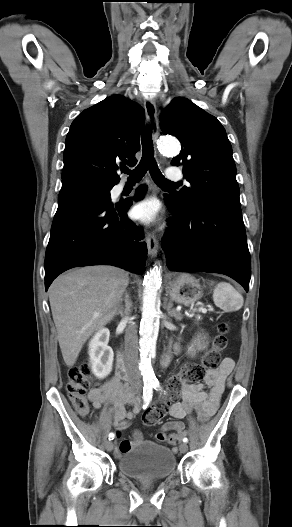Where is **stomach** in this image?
Returning a JSON list of instances; mask_svg holds the SVG:
<instances>
[{
	"label": "stomach",
	"mask_w": 292,
	"mask_h": 527,
	"mask_svg": "<svg viewBox=\"0 0 292 527\" xmlns=\"http://www.w3.org/2000/svg\"><path fill=\"white\" fill-rule=\"evenodd\" d=\"M168 284L169 295L176 303L191 304L203 295L199 281L189 274H175Z\"/></svg>",
	"instance_id": "stomach-1"
}]
</instances>
